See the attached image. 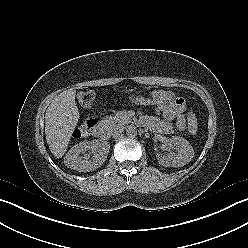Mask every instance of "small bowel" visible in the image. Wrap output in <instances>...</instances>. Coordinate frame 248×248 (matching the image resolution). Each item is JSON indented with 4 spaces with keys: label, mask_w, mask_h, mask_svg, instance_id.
<instances>
[{
    "label": "small bowel",
    "mask_w": 248,
    "mask_h": 248,
    "mask_svg": "<svg viewBox=\"0 0 248 248\" xmlns=\"http://www.w3.org/2000/svg\"><path fill=\"white\" fill-rule=\"evenodd\" d=\"M137 103L141 105L156 104V112L161 118L143 119L155 132L170 133L173 129L172 120H175L177 129H184L186 123V117L184 115L186 101L183 98H176L170 91L157 90L153 91L146 98L137 99Z\"/></svg>",
    "instance_id": "obj_1"
}]
</instances>
